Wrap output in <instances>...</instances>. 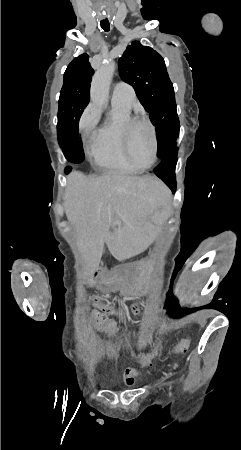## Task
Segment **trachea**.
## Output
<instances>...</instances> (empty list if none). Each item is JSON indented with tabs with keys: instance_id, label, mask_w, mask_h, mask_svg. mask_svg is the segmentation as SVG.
Instances as JSON below:
<instances>
[{
	"instance_id": "trachea-1",
	"label": "trachea",
	"mask_w": 241,
	"mask_h": 450,
	"mask_svg": "<svg viewBox=\"0 0 241 450\" xmlns=\"http://www.w3.org/2000/svg\"><path fill=\"white\" fill-rule=\"evenodd\" d=\"M101 27L105 32H108L110 30V24L109 22H101Z\"/></svg>"
}]
</instances>
